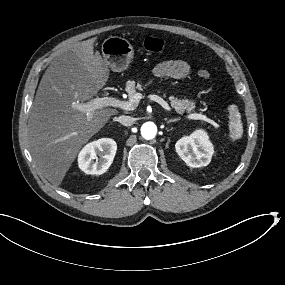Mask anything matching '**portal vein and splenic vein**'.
Wrapping results in <instances>:
<instances>
[{"instance_id":"obj_1","label":"portal vein and splenic vein","mask_w":285,"mask_h":285,"mask_svg":"<svg viewBox=\"0 0 285 285\" xmlns=\"http://www.w3.org/2000/svg\"><path fill=\"white\" fill-rule=\"evenodd\" d=\"M147 99L157 102L159 105H161L166 111L172 112L171 107L169 106L168 102L163 100L160 96L156 94H148ZM144 95L142 93H135L132 98H130L129 101H123L117 97L113 96H104V97H97L87 103L84 104H78L76 105V109L82 112L86 113L87 122L90 123V121L93 118V112L96 109H101L103 107H114L119 108L125 111H131L134 110L135 107L138 105L139 100H143ZM188 120H204L208 122V118L206 115L203 114H187L184 116Z\"/></svg>"}]
</instances>
